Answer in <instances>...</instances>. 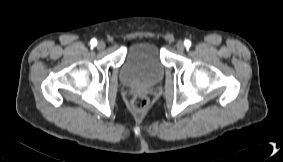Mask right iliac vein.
<instances>
[{
	"label": "right iliac vein",
	"mask_w": 283,
	"mask_h": 162,
	"mask_svg": "<svg viewBox=\"0 0 283 162\" xmlns=\"http://www.w3.org/2000/svg\"><path fill=\"white\" fill-rule=\"evenodd\" d=\"M97 48L99 50H103L105 48V42L99 41L98 44H97Z\"/></svg>",
	"instance_id": "1"
}]
</instances>
